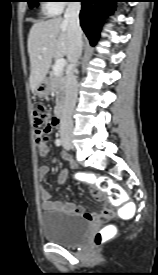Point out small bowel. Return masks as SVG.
I'll return each instance as SVG.
<instances>
[{
	"mask_svg": "<svg viewBox=\"0 0 158 275\" xmlns=\"http://www.w3.org/2000/svg\"><path fill=\"white\" fill-rule=\"evenodd\" d=\"M37 147H38L39 155L41 157H46L50 152L49 145L47 144V142L43 141L42 139L37 138ZM62 157L63 159L72 162L71 157L68 154L64 153ZM53 163H56V160H54ZM50 169L51 167L48 165H44L40 167L38 171L39 179L43 180L47 176V174L50 172ZM65 177H66V172L62 171L60 173L59 180L63 182ZM94 196L98 200H104L103 193L95 188H94ZM40 198H41V203L44 210L57 209L64 212L81 215L88 220L99 219L97 213L88 212L82 206H77L72 202L64 203L59 200H53L52 195L43 187L40 188ZM106 205H108V202H106Z\"/></svg>",
	"mask_w": 158,
	"mask_h": 275,
	"instance_id": "obj_1",
	"label": "small bowel"
}]
</instances>
